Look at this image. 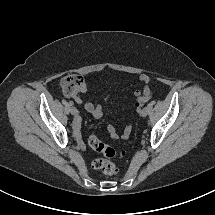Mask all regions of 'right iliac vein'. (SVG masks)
Segmentation results:
<instances>
[{
  "label": "right iliac vein",
  "mask_w": 215,
  "mask_h": 215,
  "mask_svg": "<svg viewBox=\"0 0 215 215\" xmlns=\"http://www.w3.org/2000/svg\"><path fill=\"white\" fill-rule=\"evenodd\" d=\"M70 112H71V114H72L73 116L78 115V110H77L75 107H71V108H70Z\"/></svg>",
  "instance_id": "63e3f726"
}]
</instances>
